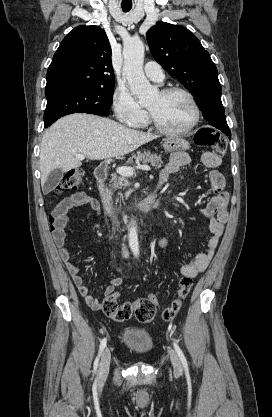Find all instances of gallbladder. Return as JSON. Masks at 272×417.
<instances>
[{"label":"gallbladder","mask_w":272,"mask_h":417,"mask_svg":"<svg viewBox=\"0 0 272 417\" xmlns=\"http://www.w3.org/2000/svg\"><path fill=\"white\" fill-rule=\"evenodd\" d=\"M64 175V172L57 168L54 169L53 171H51V173L49 174L44 186H43V191L48 194L51 191H53L57 184L59 183V181L62 179Z\"/></svg>","instance_id":"obj_1"}]
</instances>
